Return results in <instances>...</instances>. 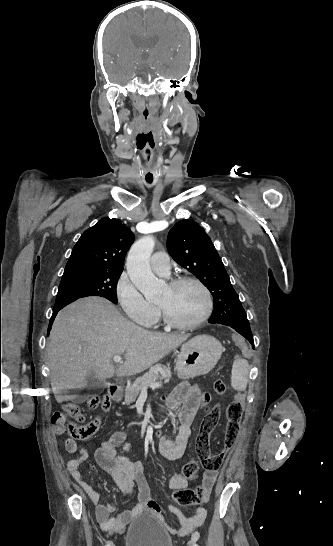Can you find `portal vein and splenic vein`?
I'll return each instance as SVG.
<instances>
[{"mask_svg": "<svg viewBox=\"0 0 333 546\" xmlns=\"http://www.w3.org/2000/svg\"><path fill=\"white\" fill-rule=\"evenodd\" d=\"M122 361V358L121 356L119 355H115L113 357V362L115 363H120ZM149 386L151 388H159L161 387V384L159 382H152V383H149L148 385H145V388L143 390H146V387Z\"/></svg>", "mask_w": 333, "mask_h": 546, "instance_id": "18ae733b", "label": "portal vein and splenic vein"}]
</instances>
